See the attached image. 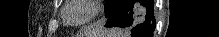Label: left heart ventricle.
<instances>
[{
	"mask_svg": "<svg viewBox=\"0 0 219 37\" xmlns=\"http://www.w3.org/2000/svg\"><path fill=\"white\" fill-rule=\"evenodd\" d=\"M91 13V8L82 0L72 2L66 11L67 19L72 22H79L86 19Z\"/></svg>",
	"mask_w": 219,
	"mask_h": 37,
	"instance_id": "b2bd125f",
	"label": "left heart ventricle"
}]
</instances>
